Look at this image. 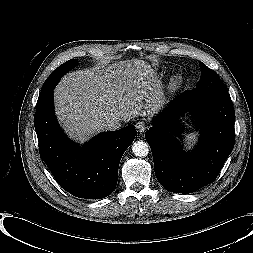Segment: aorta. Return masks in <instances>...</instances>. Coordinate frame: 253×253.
Here are the masks:
<instances>
[{
  "mask_svg": "<svg viewBox=\"0 0 253 253\" xmlns=\"http://www.w3.org/2000/svg\"><path fill=\"white\" fill-rule=\"evenodd\" d=\"M132 152L138 157H145L149 153V145L144 141H136L132 146Z\"/></svg>",
  "mask_w": 253,
  "mask_h": 253,
  "instance_id": "aorta-1",
  "label": "aorta"
}]
</instances>
